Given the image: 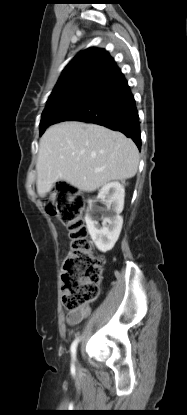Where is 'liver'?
<instances>
[{
  "label": "liver",
  "instance_id": "1",
  "mask_svg": "<svg viewBox=\"0 0 187 415\" xmlns=\"http://www.w3.org/2000/svg\"><path fill=\"white\" fill-rule=\"evenodd\" d=\"M139 152L120 132L67 121L49 127L39 141L37 192L45 197L58 180L93 192L113 180L135 176Z\"/></svg>",
  "mask_w": 187,
  "mask_h": 415
}]
</instances>
